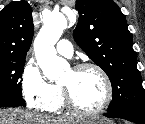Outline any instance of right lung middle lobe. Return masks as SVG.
<instances>
[{"label":"right lung middle lobe","instance_id":"right-lung-middle-lobe-1","mask_svg":"<svg viewBox=\"0 0 145 124\" xmlns=\"http://www.w3.org/2000/svg\"><path fill=\"white\" fill-rule=\"evenodd\" d=\"M25 58H0V97H22Z\"/></svg>","mask_w":145,"mask_h":124}]
</instances>
